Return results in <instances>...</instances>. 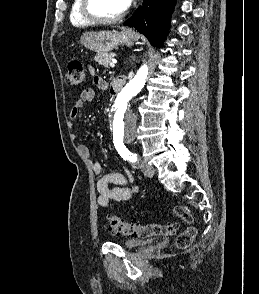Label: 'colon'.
Masks as SVG:
<instances>
[{
    "label": "colon",
    "instance_id": "colon-1",
    "mask_svg": "<svg viewBox=\"0 0 259 294\" xmlns=\"http://www.w3.org/2000/svg\"><path fill=\"white\" fill-rule=\"evenodd\" d=\"M86 81V72L82 63L78 60H72L68 63L65 74V84L69 87L82 86ZM175 215L184 222L191 224L193 221L191 213L184 207L174 208ZM109 230L120 236H132L139 238H148L152 236H163L174 234L178 228L177 223L168 224H140L123 220L119 216L112 215L108 219ZM197 231L193 226L184 229L176 238V246L179 249H185L191 245L196 237Z\"/></svg>",
    "mask_w": 259,
    "mask_h": 294
}]
</instances>
